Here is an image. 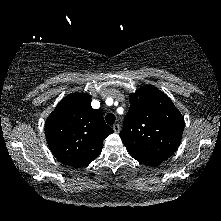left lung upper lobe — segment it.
Returning <instances> with one entry per match:
<instances>
[{"label":"left lung upper lobe","mask_w":221,"mask_h":221,"mask_svg":"<svg viewBox=\"0 0 221 221\" xmlns=\"http://www.w3.org/2000/svg\"><path fill=\"white\" fill-rule=\"evenodd\" d=\"M129 101L119 135L133 158L149 166L159 165L179 146L184 118L170 98L151 85L130 94Z\"/></svg>","instance_id":"left-lung-upper-lobe-1"}]
</instances>
